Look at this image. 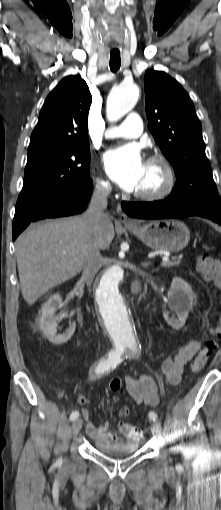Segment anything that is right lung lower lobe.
<instances>
[{
  "mask_svg": "<svg viewBox=\"0 0 221 510\" xmlns=\"http://www.w3.org/2000/svg\"><path fill=\"white\" fill-rule=\"evenodd\" d=\"M92 188V180L90 179L85 186L47 204L28 218H19L15 215L13 220V240L17 238L30 222L45 218L69 216L84 211L90 200Z\"/></svg>",
  "mask_w": 221,
  "mask_h": 510,
  "instance_id": "98d812e1",
  "label": "right lung lower lobe"
}]
</instances>
